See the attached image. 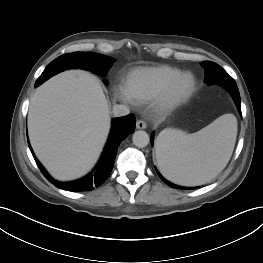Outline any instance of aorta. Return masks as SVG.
I'll return each mask as SVG.
<instances>
[{"label":"aorta","mask_w":263,"mask_h":263,"mask_svg":"<svg viewBox=\"0 0 263 263\" xmlns=\"http://www.w3.org/2000/svg\"><path fill=\"white\" fill-rule=\"evenodd\" d=\"M133 144L138 148L146 147L149 144V135L142 130L136 131L132 137Z\"/></svg>","instance_id":"762f6f07"}]
</instances>
